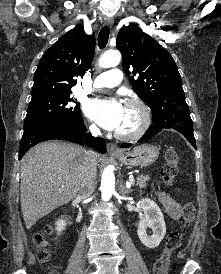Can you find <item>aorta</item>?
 I'll list each match as a JSON object with an SVG mask.
<instances>
[{"mask_svg":"<svg viewBox=\"0 0 221 274\" xmlns=\"http://www.w3.org/2000/svg\"><path fill=\"white\" fill-rule=\"evenodd\" d=\"M121 60L119 51H109L102 55L99 59V65L102 68L115 67ZM101 196L104 201H108L115 191V176L111 169L104 170L101 179Z\"/></svg>","mask_w":221,"mask_h":274,"instance_id":"obj_1","label":"aorta"}]
</instances>
